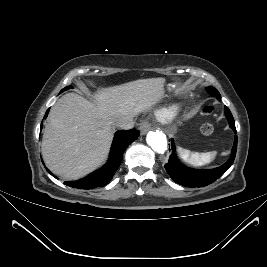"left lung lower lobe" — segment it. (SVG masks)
Here are the masks:
<instances>
[{"label":"left lung lower lobe","mask_w":267,"mask_h":267,"mask_svg":"<svg viewBox=\"0 0 267 267\" xmlns=\"http://www.w3.org/2000/svg\"><path fill=\"white\" fill-rule=\"evenodd\" d=\"M212 90H213L212 87L207 88V91L210 94H212ZM225 115L228 119L229 126L236 133L233 116L228 107L226 106H225ZM171 147H172V154L170 156L168 163L165 164V169L169 174V176L172 178V180H174L178 184L187 187H203L217 180L232 165L237 150V136H235L234 139V145L231 151L230 159L222 166L211 170L192 169L180 164L176 158L175 145L173 139H171Z\"/></svg>","instance_id":"1"}]
</instances>
